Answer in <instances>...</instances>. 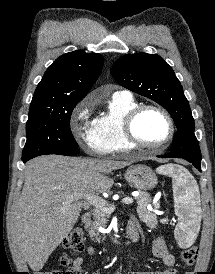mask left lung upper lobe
<instances>
[{
  "mask_svg": "<svg viewBox=\"0 0 215 274\" xmlns=\"http://www.w3.org/2000/svg\"><path fill=\"white\" fill-rule=\"evenodd\" d=\"M112 76L123 87L163 106L177 128L171 152L201 157L187 98L172 68L157 54H130L118 59Z\"/></svg>",
  "mask_w": 215,
  "mask_h": 274,
  "instance_id": "left-lung-upper-lobe-1",
  "label": "left lung upper lobe"
}]
</instances>
